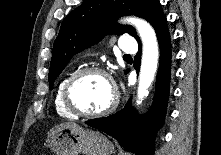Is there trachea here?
<instances>
[{"mask_svg":"<svg viewBox=\"0 0 221 155\" xmlns=\"http://www.w3.org/2000/svg\"><path fill=\"white\" fill-rule=\"evenodd\" d=\"M124 57H125V58H130L131 56H130V55H124Z\"/></svg>","mask_w":221,"mask_h":155,"instance_id":"obj_1","label":"trachea"}]
</instances>
